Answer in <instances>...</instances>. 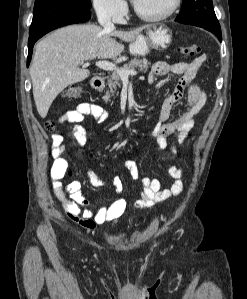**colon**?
Wrapping results in <instances>:
<instances>
[{"label": "colon", "mask_w": 247, "mask_h": 299, "mask_svg": "<svg viewBox=\"0 0 247 299\" xmlns=\"http://www.w3.org/2000/svg\"><path fill=\"white\" fill-rule=\"evenodd\" d=\"M200 51L199 46L197 45H189V46H185L182 47L180 49V54L186 57H190L193 56L195 54H197ZM82 93V89L80 86L77 85H73L70 86L65 92H64V96L70 99H75L81 96ZM55 128V124L53 121H47L45 123V129L49 132L53 131Z\"/></svg>", "instance_id": "colon-1"}]
</instances>
